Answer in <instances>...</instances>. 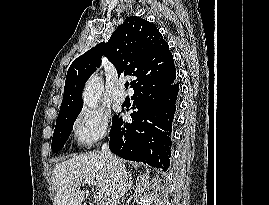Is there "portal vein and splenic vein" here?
<instances>
[{
	"label": "portal vein and splenic vein",
	"mask_w": 269,
	"mask_h": 205,
	"mask_svg": "<svg viewBox=\"0 0 269 205\" xmlns=\"http://www.w3.org/2000/svg\"><path fill=\"white\" fill-rule=\"evenodd\" d=\"M85 184H88V185H92V186H95L96 185V182H95V180L94 179H85ZM78 185H80V182H78ZM102 198H103V193H101V192H96L95 194H94V200L95 201H101L102 200Z\"/></svg>",
	"instance_id": "18ae733b"
}]
</instances>
